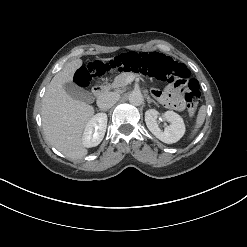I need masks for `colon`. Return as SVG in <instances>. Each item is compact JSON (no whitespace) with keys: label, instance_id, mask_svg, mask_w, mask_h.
I'll return each mask as SVG.
<instances>
[{"label":"colon","instance_id":"1","mask_svg":"<svg viewBox=\"0 0 247 247\" xmlns=\"http://www.w3.org/2000/svg\"><path fill=\"white\" fill-rule=\"evenodd\" d=\"M111 70L139 72L180 85L189 115L195 116L200 101L199 83L191 77L189 69L183 63L159 52H128L107 64L99 61L89 63L77 71L76 81L80 86H87L92 79Z\"/></svg>","mask_w":247,"mask_h":247}]
</instances>
